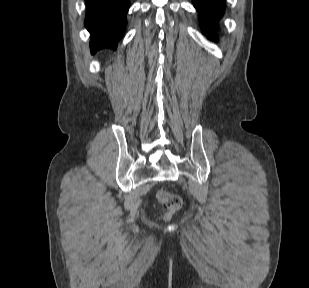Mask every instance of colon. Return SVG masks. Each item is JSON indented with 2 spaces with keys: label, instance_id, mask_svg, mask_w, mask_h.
I'll list each match as a JSON object with an SVG mask.
<instances>
[{
  "label": "colon",
  "instance_id": "colon-1",
  "mask_svg": "<svg viewBox=\"0 0 309 288\" xmlns=\"http://www.w3.org/2000/svg\"><path fill=\"white\" fill-rule=\"evenodd\" d=\"M157 199L165 207L168 213L176 212L181 206V199L178 195L162 189L158 190Z\"/></svg>",
  "mask_w": 309,
  "mask_h": 288
}]
</instances>
